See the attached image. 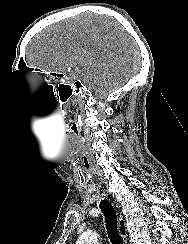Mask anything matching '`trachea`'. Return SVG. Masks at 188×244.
<instances>
[{"label":"trachea","instance_id":"1","mask_svg":"<svg viewBox=\"0 0 188 244\" xmlns=\"http://www.w3.org/2000/svg\"><path fill=\"white\" fill-rule=\"evenodd\" d=\"M100 209L105 217L106 230L112 244H123L118 232L117 215L111 203L107 200H101Z\"/></svg>","mask_w":188,"mask_h":244}]
</instances>
